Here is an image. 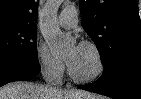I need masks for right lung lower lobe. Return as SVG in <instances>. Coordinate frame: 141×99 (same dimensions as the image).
I'll return each instance as SVG.
<instances>
[{
  "label": "right lung lower lobe",
  "instance_id": "98d812e1",
  "mask_svg": "<svg viewBox=\"0 0 141 99\" xmlns=\"http://www.w3.org/2000/svg\"><path fill=\"white\" fill-rule=\"evenodd\" d=\"M39 72L38 62L24 60L0 61V87L9 82L31 79Z\"/></svg>",
  "mask_w": 141,
  "mask_h": 99
}]
</instances>
